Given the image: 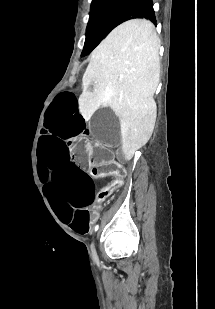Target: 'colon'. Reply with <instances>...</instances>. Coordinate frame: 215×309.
Returning a JSON list of instances; mask_svg holds the SVG:
<instances>
[{"mask_svg":"<svg viewBox=\"0 0 215 309\" xmlns=\"http://www.w3.org/2000/svg\"><path fill=\"white\" fill-rule=\"evenodd\" d=\"M100 157L101 156L95 155L91 157L92 164L96 166V171L99 173H110L115 176L114 179L98 193L97 199L103 200L122 186L125 171L118 164L112 162L109 158L104 157L103 159H100Z\"/></svg>","mask_w":215,"mask_h":309,"instance_id":"colon-1","label":"colon"}]
</instances>
